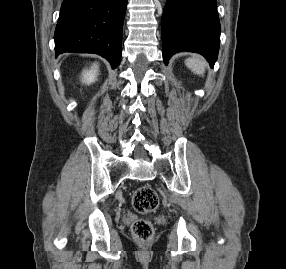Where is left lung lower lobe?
<instances>
[{"instance_id":"left-lung-lower-lobe-1","label":"left lung lower lobe","mask_w":286,"mask_h":269,"mask_svg":"<svg viewBox=\"0 0 286 269\" xmlns=\"http://www.w3.org/2000/svg\"><path fill=\"white\" fill-rule=\"evenodd\" d=\"M161 28L165 64L176 52L193 51L214 65L220 42L216 0H167Z\"/></svg>"}]
</instances>
